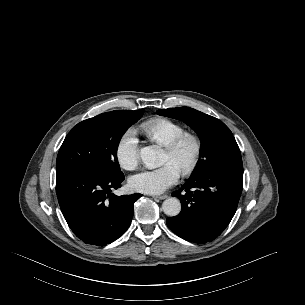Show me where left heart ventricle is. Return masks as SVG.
Segmentation results:
<instances>
[{"label":"left heart ventricle","instance_id":"obj_1","mask_svg":"<svg viewBox=\"0 0 305 305\" xmlns=\"http://www.w3.org/2000/svg\"><path fill=\"white\" fill-rule=\"evenodd\" d=\"M193 155V146L187 142L176 153L164 150L162 163H172L182 171L192 161Z\"/></svg>","mask_w":305,"mask_h":305}]
</instances>
